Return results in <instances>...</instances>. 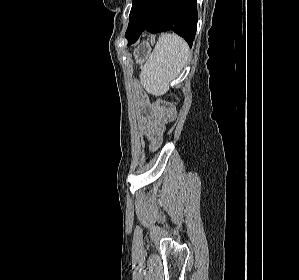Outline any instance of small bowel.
<instances>
[{"label":"small bowel","instance_id":"obj_1","mask_svg":"<svg viewBox=\"0 0 299 280\" xmlns=\"http://www.w3.org/2000/svg\"><path fill=\"white\" fill-rule=\"evenodd\" d=\"M144 131L150 141V148L156 149L164 133V126L157 120L150 119L145 123Z\"/></svg>","mask_w":299,"mask_h":280}]
</instances>
